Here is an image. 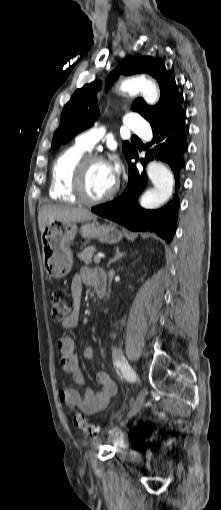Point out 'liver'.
I'll list each match as a JSON object with an SVG mask.
<instances>
[{"mask_svg":"<svg viewBox=\"0 0 221 510\" xmlns=\"http://www.w3.org/2000/svg\"><path fill=\"white\" fill-rule=\"evenodd\" d=\"M96 219L97 216L87 209L68 205H44L39 210L38 224L42 233L44 227L53 220L77 223Z\"/></svg>","mask_w":221,"mask_h":510,"instance_id":"liver-1","label":"liver"}]
</instances>
